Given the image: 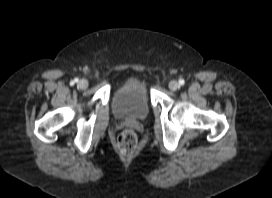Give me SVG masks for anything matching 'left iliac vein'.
<instances>
[{
    "label": "left iliac vein",
    "mask_w": 272,
    "mask_h": 198,
    "mask_svg": "<svg viewBox=\"0 0 272 198\" xmlns=\"http://www.w3.org/2000/svg\"><path fill=\"white\" fill-rule=\"evenodd\" d=\"M169 88L172 90V91H176L179 89V83L175 80H172L170 83H169Z\"/></svg>",
    "instance_id": "1"
}]
</instances>
